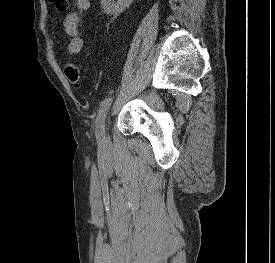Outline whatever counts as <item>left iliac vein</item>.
Wrapping results in <instances>:
<instances>
[{"label": "left iliac vein", "instance_id": "obj_1", "mask_svg": "<svg viewBox=\"0 0 275 263\" xmlns=\"http://www.w3.org/2000/svg\"><path fill=\"white\" fill-rule=\"evenodd\" d=\"M107 122L109 123V118H108V120H107ZM104 133H103V136H104V140H106V136H105V125H104Z\"/></svg>", "mask_w": 275, "mask_h": 263}]
</instances>
